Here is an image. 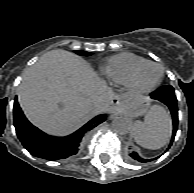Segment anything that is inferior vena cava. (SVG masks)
<instances>
[{
  "instance_id": "obj_1",
  "label": "inferior vena cava",
  "mask_w": 194,
  "mask_h": 193,
  "mask_svg": "<svg viewBox=\"0 0 194 193\" xmlns=\"http://www.w3.org/2000/svg\"><path fill=\"white\" fill-rule=\"evenodd\" d=\"M98 108H99V103H98V102H91V103H90V110H91L92 112L97 111Z\"/></svg>"
}]
</instances>
